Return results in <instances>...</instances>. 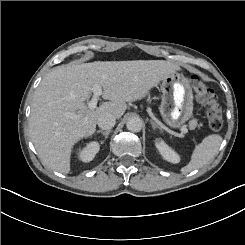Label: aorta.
<instances>
[{
  "label": "aorta",
  "mask_w": 245,
  "mask_h": 245,
  "mask_svg": "<svg viewBox=\"0 0 245 245\" xmlns=\"http://www.w3.org/2000/svg\"><path fill=\"white\" fill-rule=\"evenodd\" d=\"M126 126L127 129L131 132H139L143 127V122L139 117L133 116L127 120Z\"/></svg>",
  "instance_id": "1"
}]
</instances>
